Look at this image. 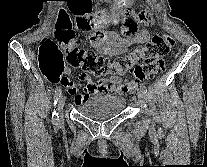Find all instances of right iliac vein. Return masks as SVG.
Returning a JSON list of instances; mask_svg holds the SVG:
<instances>
[{"label":"right iliac vein","instance_id":"1","mask_svg":"<svg viewBox=\"0 0 207 167\" xmlns=\"http://www.w3.org/2000/svg\"><path fill=\"white\" fill-rule=\"evenodd\" d=\"M65 96H61L58 101V112L59 115L62 116L64 105H65Z\"/></svg>","mask_w":207,"mask_h":167}]
</instances>
